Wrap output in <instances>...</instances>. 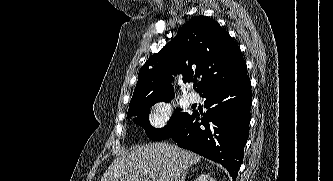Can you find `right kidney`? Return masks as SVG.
<instances>
[{
  "mask_svg": "<svg viewBox=\"0 0 333 181\" xmlns=\"http://www.w3.org/2000/svg\"><path fill=\"white\" fill-rule=\"evenodd\" d=\"M194 181H215L208 174H202L198 176Z\"/></svg>",
  "mask_w": 333,
  "mask_h": 181,
  "instance_id": "1",
  "label": "right kidney"
}]
</instances>
